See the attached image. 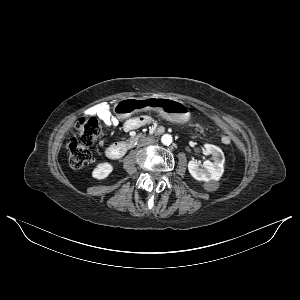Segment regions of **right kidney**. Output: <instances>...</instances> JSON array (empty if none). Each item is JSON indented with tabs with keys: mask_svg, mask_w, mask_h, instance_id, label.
<instances>
[{
	"mask_svg": "<svg viewBox=\"0 0 300 300\" xmlns=\"http://www.w3.org/2000/svg\"><path fill=\"white\" fill-rule=\"evenodd\" d=\"M113 166L108 163H99L96 168L92 172V176L98 180L104 179L108 177V175L112 172Z\"/></svg>",
	"mask_w": 300,
	"mask_h": 300,
	"instance_id": "ca27d5eb",
	"label": "right kidney"
}]
</instances>
